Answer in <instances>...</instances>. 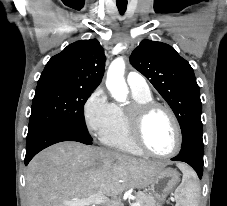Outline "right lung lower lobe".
Listing matches in <instances>:
<instances>
[{"label": "right lung lower lobe", "instance_id": "1", "mask_svg": "<svg viewBox=\"0 0 227 206\" xmlns=\"http://www.w3.org/2000/svg\"><path fill=\"white\" fill-rule=\"evenodd\" d=\"M25 165L44 148L62 141H77L84 144H92L83 133L70 127L60 125H44L27 135Z\"/></svg>", "mask_w": 227, "mask_h": 206}]
</instances>
